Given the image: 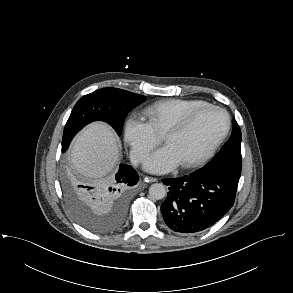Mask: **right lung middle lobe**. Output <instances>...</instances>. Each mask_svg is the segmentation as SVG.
<instances>
[{
	"label": "right lung middle lobe",
	"mask_w": 293,
	"mask_h": 293,
	"mask_svg": "<svg viewBox=\"0 0 293 293\" xmlns=\"http://www.w3.org/2000/svg\"><path fill=\"white\" fill-rule=\"evenodd\" d=\"M145 100L143 95L113 87L83 96L74 106L66 123L62 151H66L78 131L96 120L108 123L120 135L127 113ZM80 184L69 175H65L62 181L66 202L75 219L93 232L105 233L114 228L119 221L111 219L107 214L96 213L83 202Z\"/></svg>",
	"instance_id": "obj_1"
}]
</instances>
